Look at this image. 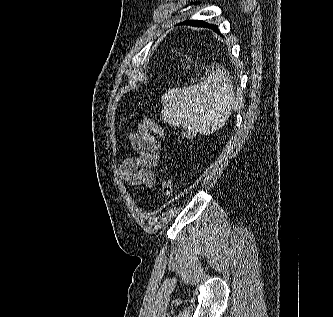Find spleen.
Masks as SVG:
<instances>
[{"label":"spleen","instance_id":"obj_1","mask_svg":"<svg viewBox=\"0 0 333 317\" xmlns=\"http://www.w3.org/2000/svg\"><path fill=\"white\" fill-rule=\"evenodd\" d=\"M234 102L233 84L222 67L193 85L167 90L161 117L169 125L209 135L225 125Z\"/></svg>","mask_w":333,"mask_h":317}]
</instances>
